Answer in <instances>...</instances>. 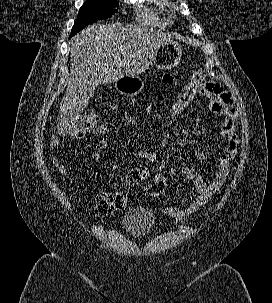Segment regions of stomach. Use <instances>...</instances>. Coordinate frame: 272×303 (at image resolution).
<instances>
[{"label": "stomach", "mask_w": 272, "mask_h": 303, "mask_svg": "<svg viewBox=\"0 0 272 303\" xmlns=\"http://www.w3.org/2000/svg\"><path fill=\"white\" fill-rule=\"evenodd\" d=\"M181 56V46L170 40L158 49L154 64L158 69L169 70L179 64ZM115 87L120 93L132 97L141 91L142 84L138 77H126L116 81Z\"/></svg>", "instance_id": "1"}]
</instances>
